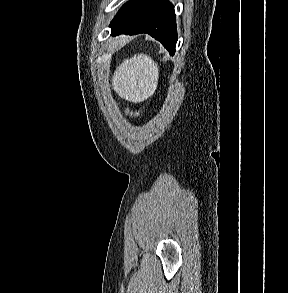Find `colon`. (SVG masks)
Segmentation results:
<instances>
[{
  "instance_id": "obj_1",
  "label": "colon",
  "mask_w": 288,
  "mask_h": 293,
  "mask_svg": "<svg viewBox=\"0 0 288 293\" xmlns=\"http://www.w3.org/2000/svg\"><path fill=\"white\" fill-rule=\"evenodd\" d=\"M129 115L133 118H137L140 116V114L138 112H129Z\"/></svg>"
}]
</instances>
